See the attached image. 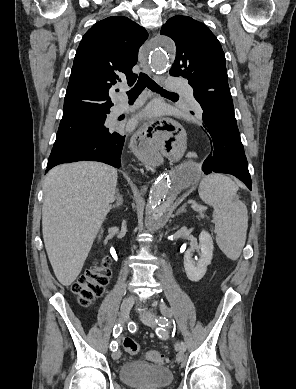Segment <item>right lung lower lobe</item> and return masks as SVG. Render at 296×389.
Wrapping results in <instances>:
<instances>
[{
	"label": "right lung lower lobe",
	"mask_w": 296,
	"mask_h": 389,
	"mask_svg": "<svg viewBox=\"0 0 296 389\" xmlns=\"http://www.w3.org/2000/svg\"><path fill=\"white\" fill-rule=\"evenodd\" d=\"M124 141L125 135L110 131L55 146L49 156L46 172L62 163L83 160L99 161L119 168Z\"/></svg>",
	"instance_id": "1"
}]
</instances>
